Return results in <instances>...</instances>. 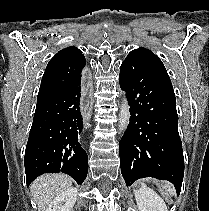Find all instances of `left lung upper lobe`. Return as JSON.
<instances>
[{
	"instance_id": "1",
	"label": "left lung upper lobe",
	"mask_w": 209,
	"mask_h": 211,
	"mask_svg": "<svg viewBox=\"0 0 209 211\" xmlns=\"http://www.w3.org/2000/svg\"><path fill=\"white\" fill-rule=\"evenodd\" d=\"M129 54H134V55L140 57L149 66H151L158 72L162 73L163 75L169 77L161 60L150 50L145 49V48H138V49L131 51Z\"/></svg>"
}]
</instances>
